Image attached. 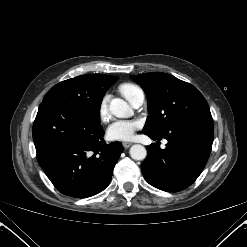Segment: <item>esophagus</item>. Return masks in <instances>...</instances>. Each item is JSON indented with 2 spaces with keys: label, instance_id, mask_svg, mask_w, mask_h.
Instances as JSON below:
<instances>
[{
  "label": "esophagus",
  "instance_id": "esophagus-1",
  "mask_svg": "<svg viewBox=\"0 0 247 247\" xmlns=\"http://www.w3.org/2000/svg\"><path fill=\"white\" fill-rule=\"evenodd\" d=\"M122 145H123V147L125 149H128L132 145V143H130V142H123Z\"/></svg>",
  "mask_w": 247,
  "mask_h": 247
}]
</instances>
